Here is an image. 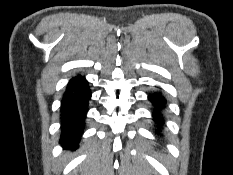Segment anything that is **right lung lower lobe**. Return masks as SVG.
I'll return each instance as SVG.
<instances>
[{"mask_svg": "<svg viewBox=\"0 0 233 175\" xmlns=\"http://www.w3.org/2000/svg\"><path fill=\"white\" fill-rule=\"evenodd\" d=\"M90 98L91 90L84 77L78 75L69 81L61 104L60 143L63 146H78Z\"/></svg>", "mask_w": 233, "mask_h": 175, "instance_id": "1", "label": "right lung lower lobe"}]
</instances>
